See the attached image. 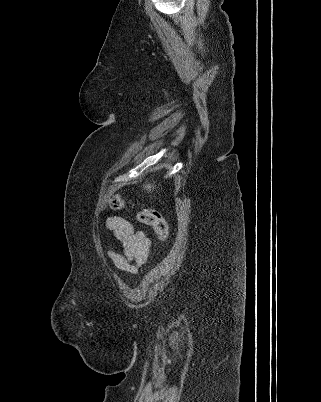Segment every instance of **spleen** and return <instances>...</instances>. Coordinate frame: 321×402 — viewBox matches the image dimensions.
<instances>
[{
    "mask_svg": "<svg viewBox=\"0 0 321 402\" xmlns=\"http://www.w3.org/2000/svg\"><path fill=\"white\" fill-rule=\"evenodd\" d=\"M151 188H154V186L151 185V184H146V185H145V189H146V190L151 191Z\"/></svg>",
    "mask_w": 321,
    "mask_h": 402,
    "instance_id": "spleen-1",
    "label": "spleen"
}]
</instances>
